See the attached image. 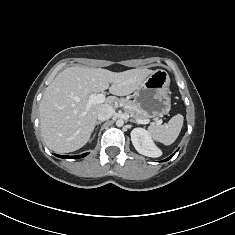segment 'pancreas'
Segmentation results:
<instances>
[{
  "label": "pancreas",
  "mask_w": 235,
  "mask_h": 235,
  "mask_svg": "<svg viewBox=\"0 0 235 235\" xmlns=\"http://www.w3.org/2000/svg\"><path fill=\"white\" fill-rule=\"evenodd\" d=\"M120 104L123 106L124 111L135 120H146L149 118V115L134 100L123 98L120 99Z\"/></svg>",
  "instance_id": "cf45deb5"
}]
</instances>
